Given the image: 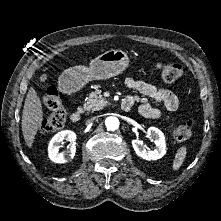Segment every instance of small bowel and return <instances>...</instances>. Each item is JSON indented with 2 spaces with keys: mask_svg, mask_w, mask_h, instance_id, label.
<instances>
[{
  "mask_svg": "<svg viewBox=\"0 0 221 221\" xmlns=\"http://www.w3.org/2000/svg\"><path fill=\"white\" fill-rule=\"evenodd\" d=\"M124 83L127 88L139 92L143 97L129 95L123 99L122 103H128L131 109L136 102H139V113L142 116L158 119L162 115V111L159 108L153 107L149 99L162 104L170 112L175 111L178 107V97L168 89L131 77L126 78Z\"/></svg>",
  "mask_w": 221,
  "mask_h": 221,
  "instance_id": "c3829d8e",
  "label": "small bowel"
}]
</instances>
